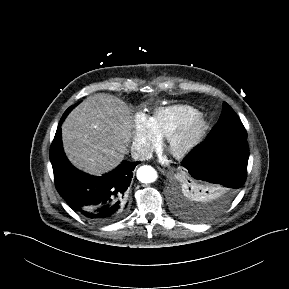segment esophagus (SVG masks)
I'll return each instance as SVG.
<instances>
[{
  "instance_id": "esophagus-1",
  "label": "esophagus",
  "mask_w": 289,
  "mask_h": 289,
  "mask_svg": "<svg viewBox=\"0 0 289 289\" xmlns=\"http://www.w3.org/2000/svg\"><path fill=\"white\" fill-rule=\"evenodd\" d=\"M158 168V170L162 173V174H167L168 172H167V170H165V169H163V168H161V167H157Z\"/></svg>"
}]
</instances>
